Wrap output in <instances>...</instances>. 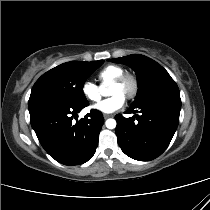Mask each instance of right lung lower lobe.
I'll use <instances>...</instances> for the list:
<instances>
[{
  "label": "right lung lower lobe",
  "instance_id": "obj_1",
  "mask_svg": "<svg viewBox=\"0 0 210 210\" xmlns=\"http://www.w3.org/2000/svg\"><path fill=\"white\" fill-rule=\"evenodd\" d=\"M88 105L49 101L29 108L39 142L59 163L79 165L94 155L104 122L102 113L93 109L79 122L72 121Z\"/></svg>",
  "mask_w": 210,
  "mask_h": 210
}]
</instances>
